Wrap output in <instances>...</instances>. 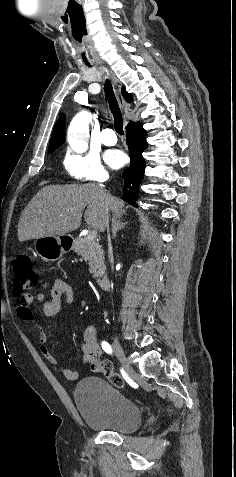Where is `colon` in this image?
I'll return each mask as SVG.
<instances>
[{
    "label": "colon",
    "mask_w": 236,
    "mask_h": 477,
    "mask_svg": "<svg viewBox=\"0 0 236 477\" xmlns=\"http://www.w3.org/2000/svg\"><path fill=\"white\" fill-rule=\"evenodd\" d=\"M13 290L18 298L21 306L28 307L31 305V295L29 293L38 283V275L34 268V262L31 257L22 255L18 257L13 267ZM99 366L101 372L106 376L108 381L119 388L125 385L121 375L113 370V365L108 360H100Z\"/></svg>",
    "instance_id": "1"
}]
</instances>
